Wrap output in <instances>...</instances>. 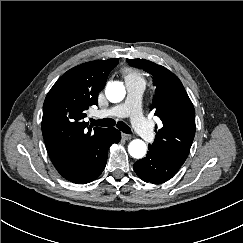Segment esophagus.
I'll return each mask as SVG.
<instances>
[{"mask_svg":"<svg viewBox=\"0 0 243 243\" xmlns=\"http://www.w3.org/2000/svg\"><path fill=\"white\" fill-rule=\"evenodd\" d=\"M122 138H123L124 140H130V139L132 138V136L129 135V134L122 133Z\"/></svg>","mask_w":243,"mask_h":243,"instance_id":"1","label":"esophagus"}]
</instances>
